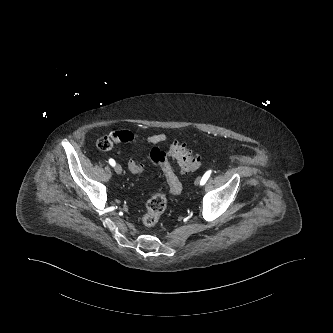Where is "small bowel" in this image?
<instances>
[{"instance_id": "1", "label": "small bowel", "mask_w": 333, "mask_h": 333, "mask_svg": "<svg viewBox=\"0 0 333 333\" xmlns=\"http://www.w3.org/2000/svg\"><path fill=\"white\" fill-rule=\"evenodd\" d=\"M111 135L113 136L116 142H124V143L132 142L134 140H142L150 144H161L164 143L167 139V136L164 133H154L148 136H140L138 134H135L127 130L113 131ZM192 141L194 143H200V139L196 137L193 138Z\"/></svg>"}]
</instances>
